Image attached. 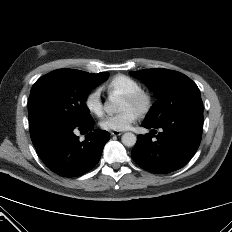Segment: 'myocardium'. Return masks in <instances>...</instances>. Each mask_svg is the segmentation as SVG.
<instances>
[{
    "label": "myocardium",
    "instance_id": "myocardium-1",
    "mask_svg": "<svg viewBox=\"0 0 232 232\" xmlns=\"http://www.w3.org/2000/svg\"><path fill=\"white\" fill-rule=\"evenodd\" d=\"M124 99L129 101L141 115L148 112L152 103L150 94L144 90L126 94L124 95Z\"/></svg>",
    "mask_w": 232,
    "mask_h": 232
}]
</instances>
